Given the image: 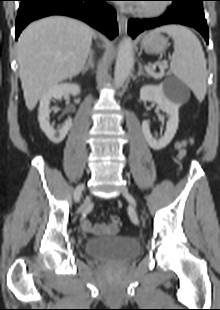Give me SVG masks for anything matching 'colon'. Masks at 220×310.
Listing matches in <instances>:
<instances>
[{"label": "colon", "mask_w": 220, "mask_h": 310, "mask_svg": "<svg viewBox=\"0 0 220 310\" xmlns=\"http://www.w3.org/2000/svg\"><path fill=\"white\" fill-rule=\"evenodd\" d=\"M111 223L114 229H117L121 223L120 218L118 216H112Z\"/></svg>", "instance_id": "obj_1"}]
</instances>
